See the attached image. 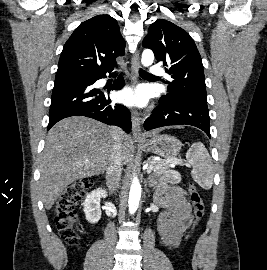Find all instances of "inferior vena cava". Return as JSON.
<instances>
[{"label": "inferior vena cava", "instance_id": "inferior-vena-cava-1", "mask_svg": "<svg viewBox=\"0 0 267 270\" xmlns=\"http://www.w3.org/2000/svg\"><path fill=\"white\" fill-rule=\"evenodd\" d=\"M123 134L121 129L114 128L111 156L106 171V181L110 191L115 189L121 179L123 165L121 156V137Z\"/></svg>", "mask_w": 267, "mask_h": 270}]
</instances>
